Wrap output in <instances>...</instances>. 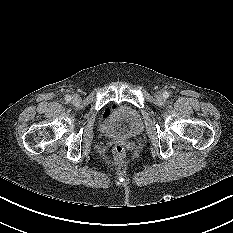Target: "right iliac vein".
<instances>
[{"mask_svg":"<svg viewBox=\"0 0 233 233\" xmlns=\"http://www.w3.org/2000/svg\"><path fill=\"white\" fill-rule=\"evenodd\" d=\"M72 99L74 102H78L80 100V97L75 94V95H73Z\"/></svg>","mask_w":233,"mask_h":233,"instance_id":"63e3f726","label":"right iliac vein"}]
</instances>
